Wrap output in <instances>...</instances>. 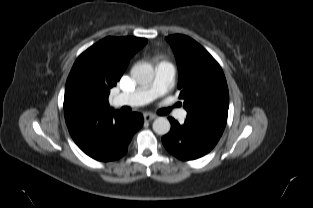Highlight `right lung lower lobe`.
<instances>
[{
  "mask_svg": "<svg viewBox=\"0 0 313 208\" xmlns=\"http://www.w3.org/2000/svg\"><path fill=\"white\" fill-rule=\"evenodd\" d=\"M68 130L78 147L98 161H113L126 154L128 144L143 124L139 113L110 108L64 111Z\"/></svg>",
  "mask_w": 313,
  "mask_h": 208,
  "instance_id": "98d812e1",
  "label": "right lung lower lobe"
}]
</instances>
